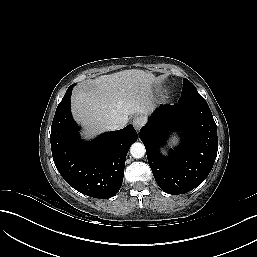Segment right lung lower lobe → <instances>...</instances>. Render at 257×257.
<instances>
[{"label": "right lung lower lobe", "mask_w": 257, "mask_h": 257, "mask_svg": "<svg viewBox=\"0 0 257 257\" xmlns=\"http://www.w3.org/2000/svg\"><path fill=\"white\" fill-rule=\"evenodd\" d=\"M67 91L71 93V87ZM78 130L68 99L57 107L51 126L50 142L57 170L82 194L94 198L113 197L122 186L126 155L137 140V132L128 125L86 142Z\"/></svg>", "instance_id": "right-lung-lower-lobe-1"}]
</instances>
